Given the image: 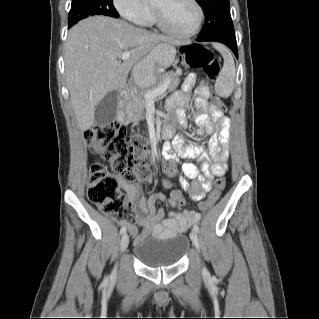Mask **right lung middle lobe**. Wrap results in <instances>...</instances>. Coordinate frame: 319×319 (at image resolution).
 I'll use <instances>...</instances> for the list:
<instances>
[{
    "mask_svg": "<svg viewBox=\"0 0 319 319\" xmlns=\"http://www.w3.org/2000/svg\"><path fill=\"white\" fill-rule=\"evenodd\" d=\"M93 15L118 17L113 0H73L68 16L69 28L79 20Z\"/></svg>",
    "mask_w": 319,
    "mask_h": 319,
    "instance_id": "1",
    "label": "right lung middle lobe"
}]
</instances>
